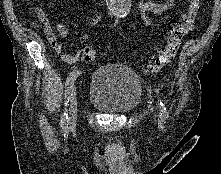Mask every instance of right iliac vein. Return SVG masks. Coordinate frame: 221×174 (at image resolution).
<instances>
[{"mask_svg": "<svg viewBox=\"0 0 221 174\" xmlns=\"http://www.w3.org/2000/svg\"><path fill=\"white\" fill-rule=\"evenodd\" d=\"M77 121V93L76 90L73 89L72 96L70 98V106H69V126L74 127Z\"/></svg>", "mask_w": 221, "mask_h": 174, "instance_id": "right-iliac-vein-1", "label": "right iliac vein"}]
</instances>
